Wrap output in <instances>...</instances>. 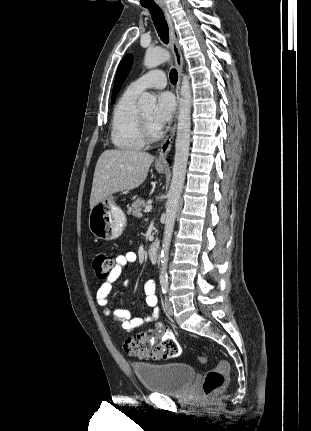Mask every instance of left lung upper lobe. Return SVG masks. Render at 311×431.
<instances>
[{
  "mask_svg": "<svg viewBox=\"0 0 311 431\" xmlns=\"http://www.w3.org/2000/svg\"><path fill=\"white\" fill-rule=\"evenodd\" d=\"M132 62H133V56L131 54H128L122 59V61L118 66L115 82H114L113 93H112V103L115 101V98L120 90L121 85L123 84L127 75L129 74V71L132 66Z\"/></svg>",
  "mask_w": 311,
  "mask_h": 431,
  "instance_id": "5c2ea615",
  "label": "left lung upper lobe"
}]
</instances>
